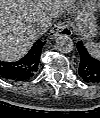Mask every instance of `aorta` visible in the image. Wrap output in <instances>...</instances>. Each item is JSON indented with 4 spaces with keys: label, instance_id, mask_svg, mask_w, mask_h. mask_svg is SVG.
Returning a JSON list of instances; mask_svg holds the SVG:
<instances>
[{
    "label": "aorta",
    "instance_id": "762f6f07",
    "mask_svg": "<svg viewBox=\"0 0 100 118\" xmlns=\"http://www.w3.org/2000/svg\"><path fill=\"white\" fill-rule=\"evenodd\" d=\"M56 48L62 53H70L74 49V43L69 36L60 35L56 39Z\"/></svg>",
    "mask_w": 100,
    "mask_h": 118
}]
</instances>
